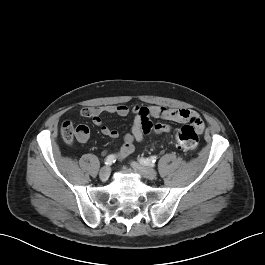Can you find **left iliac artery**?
Instances as JSON below:
<instances>
[{"instance_id": "44dca946", "label": "left iliac artery", "mask_w": 265, "mask_h": 265, "mask_svg": "<svg viewBox=\"0 0 265 265\" xmlns=\"http://www.w3.org/2000/svg\"><path fill=\"white\" fill-rule=\"evenodd\" d=\"M157 160V156H151L150 158H141L139 162L146 166H154V163Z\"/></svg>"}]
</instances>
